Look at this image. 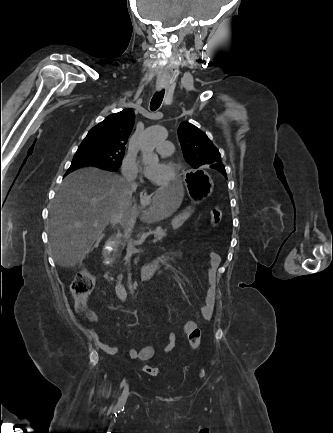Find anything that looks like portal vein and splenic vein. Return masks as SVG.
Instances as JSON below:
<instances>
[{
    "mask_svg": "<svg viewBox=\"0 0 333 433\" xmlns=\"http://www.w3.org/2000/svg\"><path fill=\"white\" fill-rule=\"evenodd\" d=\"M153 242H154V243L157 242V238H154Z\"/></svg>",
    "mask_w": 333,
    "mask_h": 433,
    "instance_id": "18ae733b",
    "label": "portal vein and splenic vein"
}]
</instances>
